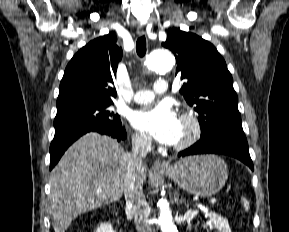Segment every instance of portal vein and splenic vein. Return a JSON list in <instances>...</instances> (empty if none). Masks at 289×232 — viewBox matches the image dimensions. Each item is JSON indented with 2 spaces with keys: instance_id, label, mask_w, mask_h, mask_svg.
<instances>
[{
  "instance_id": "portal-vein-and-splenic-vein-1",
  "label": "portal vein and splenic vein",
  "mask_w": 289,
  "mask_h": 232,
  "mask_svg": "<svg viewBox=\"0 0 289 232\" xmlns=\"http://www.w3.org/2000/svg\"><path fill=\"white\" fill-rule=\"evenodd\" d=\"M101 190H97V192H100ZM218 201V199L217 198H211L210 200H209V203H216Z\"/></svg>"
}]
</instances>
